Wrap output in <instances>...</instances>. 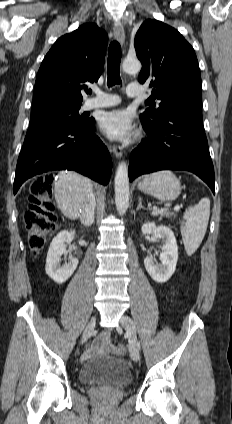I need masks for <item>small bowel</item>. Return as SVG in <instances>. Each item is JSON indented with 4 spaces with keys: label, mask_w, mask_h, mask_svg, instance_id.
Masks as SVG:
<instances>
[{
    "label": "small bowel",
    "mask_w": 232,
    "mask_h": 424,
    "mask_svg": "<svg viewBox=\"0 0 232 424\" xmlns=\"http://www.w3.org/2000/svg\"><path fill=\"white\" fill-rule=\"evenodd\" d=\"M109 351L117 352V346L111 343L110 335L107 332H103L98 335L90 347H88L84 352V357L89 358L92 356L105 354ZM123 354V353H120Z\"/></svg>",
    "instance_id": "obj_1"
}]
</instances>
